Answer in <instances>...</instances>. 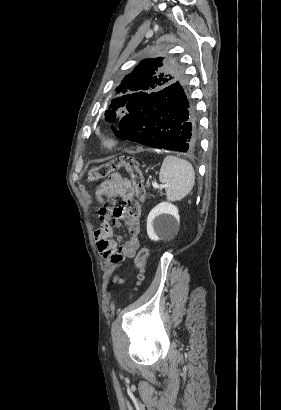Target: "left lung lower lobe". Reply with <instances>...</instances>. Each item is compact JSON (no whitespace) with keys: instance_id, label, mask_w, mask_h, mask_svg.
Returning <instances> with one entry per match:
<instances>
[{"instance_id":"obj_1","label":"left lung lower lobe","mask_w":281,"mask_h":410,"mask_svg":"<svg viewBox=\"0 0 281 410\" xmlns=\"http://www.w3.org/2000/svg\"><path fill=\"white\" fill-rule=\"evenodd\" d=\"M127 139L153 148L193 152L199 145V126L189 102L184 81L175 82L155 93L139 112L125 115L119 132Z\"/></svg>"}]
</instances>
